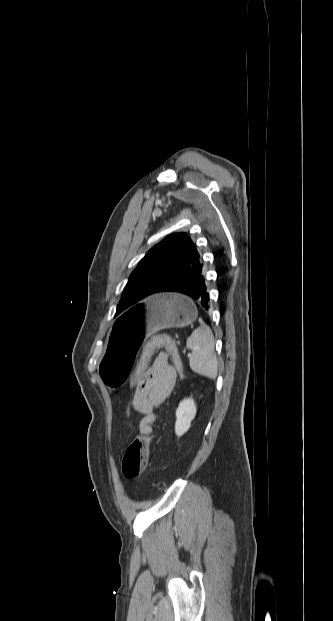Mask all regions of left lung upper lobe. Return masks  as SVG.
Listing matches in <instances>:
<instances>
[{
  "label": "left lung upper lobe",
  "mask_w": 333,
  "mask_h": 621,
  "mask_svg": "<svg viewBox=\"0 0 333 621\" xmlns=\"http://www.w3.org/2000/svg\"><path fill=\"white\" fill-rule=\"evenodd\" d=\"M201 263V255L188 234L167 236L147 252L130 275L115 316L134 308L165 283Z\"/></svg>",
  "instance_id": "5c2ea615"
}]
</instances>
